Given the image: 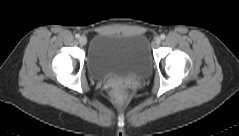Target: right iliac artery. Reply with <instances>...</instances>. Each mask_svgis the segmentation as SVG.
I'll return each instance as SVG.
<instances>
[{
  "mask_svg": "<svg viewBox=\"0 0 239 136\" xmlns=\"http://www.w3.org/2000/svg\"><path fill=\"white\" fill-rule=\"evenodd\" d=\"M75 37H76V38H79V37H80V35L77 33V34H75Z\"/></svg>",
  "mask_w": 239,
  "mask_h": 136,
  "instance_id": "obj_1",
  "label": "right iliac artery"
}]
</instances>
